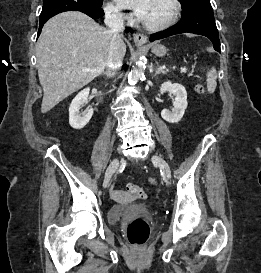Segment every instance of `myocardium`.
Returning a JSON list of instances; mask_svg holds the SVG:
<instances>
[{
	"label": "myocardium",
	"instance_id": "myocardium-1",
	"mask_svg": "<svg viewBox=\"0 0 261 273\" xmlns=\"http://www.w3.org/2000/svg\"><path fill=\"white\" fill-rule=\"evenodd\" d=\"M170 4L172 5V13L170 15V17L159 24H146L143 23V26L145 29L149 30V31H161L164 29L169 28L170 26H172L174 23H176V21L178 20L181 10H182V6L179 0H169Z\"/></svg>",
	"mask_w": 261,
	"mask_h": 273
}]
</instances>
